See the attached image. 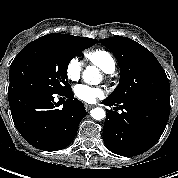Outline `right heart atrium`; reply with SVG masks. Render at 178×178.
Wrapping results in <instances>:
<instances>
[{
  "mask_svg": "<svg viewBox=\"0 0 178 178\" xmlns=\"http://www.w3.org/2000/svg\"><path fill=\"white\" fill-rule=\"evenodd\" d=\"M82 72V63L78 58H72L66 66L67 78L70 81H78Z\"/></svg>",
  "mask_w": 178,
  "mask_h": 178,
  "instance_id": "right-heart-atrium-1",
  "label": "right heart atrium"
}]
</instances>
